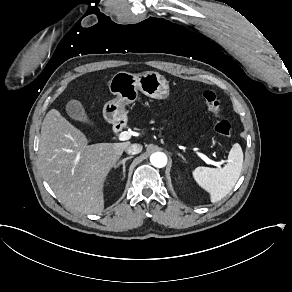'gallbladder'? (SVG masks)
<instances>
[{
  "label": "gallbladder",
  "mask_w": 292,
  "mask_h": 292,
  "mask_svg": "<svg viewBox=\"0 0 292 292\" xmlns=\"http://www.w3.org/2000/svg\"><path fill=\"white\" fill-rule=\"evenodd\" d=\"M67 114L75 120L87 122V115L82 104L78 100H71L66 105Z\"/></svg>",
  "instance_id": "1"
}]
</instances>
